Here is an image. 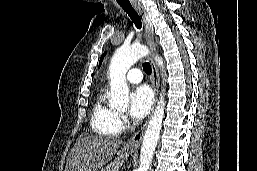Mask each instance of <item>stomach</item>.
<instances>
[{
	"instance_id": "1",
	"label": "stomach",
	"mask_w": 257,
	"mask_h": 171,
	"mask_svg": "<svg viewBox=\"0 0 257 171\" xmlns=\"http://www.w3.org/2000/svg\"><path fill=\"white\" fill-rule=\"evenodd\" d=\"M133 151H128L122 149L118 152V156L115 158L114 161H111L105 168L101 171H119V168L122 166L124 160H126Z\"/></svg>"
}]
</instances>
